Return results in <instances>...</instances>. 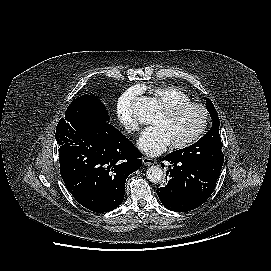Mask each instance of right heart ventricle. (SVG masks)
Masks as SVG:
<instances>
[{
    "mask_svg": "<svg viewBox=\"0 0 271 271\" xmlns=\"http://www.w3.org/2000/svg\"><path fill=\"white\" fill-rule=\"evenodd\" d=\"M149 91L161 108L191 101L188 94L174 86H155Z\"/></svg>",
    "mask_w": 271,
    "mask_h": 271,
    "instance_id": "obj_1",
    "label": "right heart ventricle"
}]
</instances>
